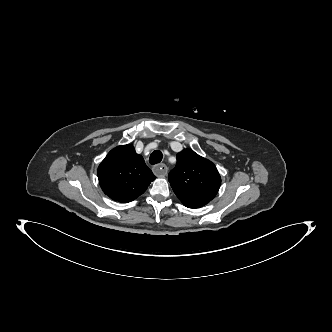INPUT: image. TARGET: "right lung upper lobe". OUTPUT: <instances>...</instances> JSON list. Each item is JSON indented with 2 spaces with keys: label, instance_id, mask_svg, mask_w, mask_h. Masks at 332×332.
Wrapping results in <instances>:
<instances>
[{
  "label": "right lung upper lobe",
  "instance_id": "1",
  "mask_svg": "<svg viewBox=\"0 0 332 332\" xmlns=\"http://www.w3.org/2000/svg\"><path fill=\"white\" fill-rule=\"evenodd\" d=\"M98 179L108 197L127 203L143 194L155 176L133 145L127 144L108 153L98 167Z\"/></svg>",
  "mask_w": 332,
  "mask_h": 332
}]
</instances>
